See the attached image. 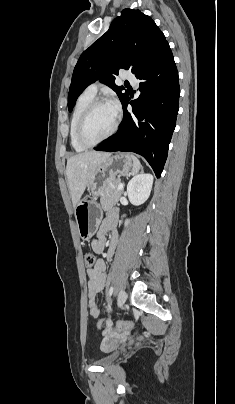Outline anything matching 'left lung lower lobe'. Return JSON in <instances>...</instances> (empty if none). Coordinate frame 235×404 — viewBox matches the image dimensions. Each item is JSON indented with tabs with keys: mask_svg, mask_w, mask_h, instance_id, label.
I'll return each mask as SVG.
<instances>
[{
	"mask_svg": "<svg viewBox=\"0 0 235 404\" xmlns=\"http://www.w3.org/2000/svg\"><path fill=\"white\" fill-rule=\"evenodd\" d=\"M140 95L122 103L124 117L116 134L95 148L134 152L143 156L157 178L161 176L179 108V81L174 58L166 44L135 73ZM132 105V113L127 105Z\"/></svg>",
	"mask_w": 235,
	"mask_h": 404,
	"instance_id": "1",
	"label": "left lung lower lobe"
}]
</instances>
